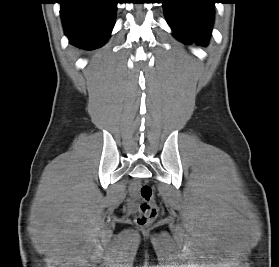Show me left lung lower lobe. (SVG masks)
Wrapping results in <instances>:
<instances>
[{
  "label": "left lung lower lobe",
  "instance_id": "0a47b994",
  "mask_svg": "<svg viewBox=\"0 0 279 267\" xmlns=\"http://www.w3.org/2000/svg\"><path fill=\"white\" fill-rule=\"evenodd\" d=\"M216 0H162L165 16L176 38L184 44L205 46L211 34Z\"/></svg>",
  "mask_w": 279,
  "mask_h": 267
}]
</instances>
